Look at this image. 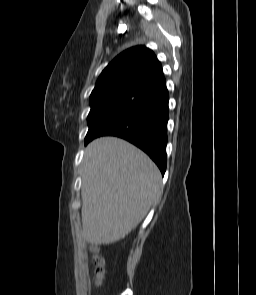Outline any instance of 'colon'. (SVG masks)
<instances>
[{"mask_svg": "<svg viewBox=\"0 0 256 295\" xmlns=\"http://www.w3.org/2000/svg\"><path fill=\"white\" fill-rule=\"evenodd\" d=\"M92 265L95 269L96 282L98 285H101L103 279V259L98 254H95L92 258Z\"/></svg>", "mask_w": 256, "mask_h": 295, "instance_id": "5ec220e1", "label": "colon"}]
</instances>
